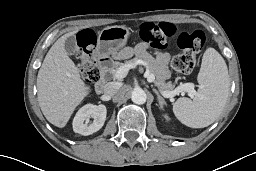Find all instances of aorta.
Here are the masks:
<instances>
[{"label": "aorta", "mask_w": 256, "mask_h": 171, "mask_svg": "<svg viewBox=\"0 0 256 171\" xmlns=\"http://www.w3.org/2000/svg\"><path fill=\"white\" fill-rule=\"evenodd\" d=\"M131 99L132 101L135 103V104H138V105H142L146 102L147 100V95L145 93V91L141 88H135L133 91H132V94H131Z\"/></svg>", "instance_id": "obj_1"}]
</instances>
